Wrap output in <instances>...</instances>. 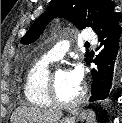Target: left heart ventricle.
Listing matches in <instances>:
<instances>
[{
	"label": "left heart ventricle",
	"instance_id": "b2bd125f",
	"mask_svg": "<svg viewBox=\"0 0 122 123\" xmlns=\"http://www.w3.org/2000/svg\"><path fill=\"white\" fill-rule=\"evenodd\" d=\"M56 90L60 99L71 100L80 91L81 84L75 82L70 76L69 70L57 69L55 71Z\"/></svg>",
	"mask_w": 122,
	"mask_h": 123
}]
</instances>
